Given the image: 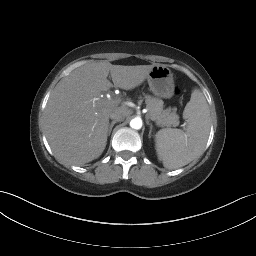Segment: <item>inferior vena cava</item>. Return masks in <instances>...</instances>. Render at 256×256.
I'll return each mask as SVG.
<instances>
[{
    "label": "inferior vena cava",
    "instance_id": "602c4592",
    "mask_svg": "<svg viewBox=\"0 0 256 256\" xmlns=\"http://www.w3.org/2000/svg\"><path fill=\"white\" fill-rule=\"evenodd\" d=\"M110 118L115 120V121H122L125 117L119 110H114L113 112L110 113Z\"/></svg>",
    "mask_w": 256,
    "mask_h": 256
}]
</instances>
